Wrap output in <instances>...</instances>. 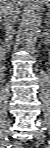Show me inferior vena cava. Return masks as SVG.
Instances as JSON below:
<instances>
[{"label": "inferior vena cava", "instance_id": "602c4592", "mask_svg": "<svg viewBox=\"0 0 50 148\" xmlns=\"http://www.w3.org/2000/svg\"><path fill=\"white\" fill-rule=\"evenodd\" d=\"M18 0H11L2 8V15L5 28V46L9 49L14 31V25L19 21Z\"/></svg>", "mask_w": 50, "mask_h": 148}]
</instances>
